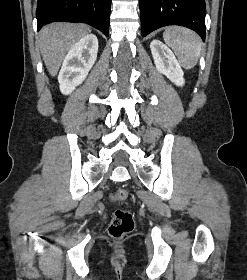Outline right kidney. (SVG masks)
I'll use <instances>...</instances> for the list:
<instances>
[{
	"instance_id": "1",
	"label": "right kidney",
	"mask_w": 247,
	"mask_h": 280,
	"mask_svg": "<svg viewBox=\"0 0 247 280\" xmlns=\"http://www.w3.org/2000/svg\"><path fill=\"white\" fill-rule=\"evenodd\" d=\"M97 52L98 39L94 34L82 37L69 50L58 76L62 94H70L85 80L96 61Z\"/></svg>"
}]
</instances>
